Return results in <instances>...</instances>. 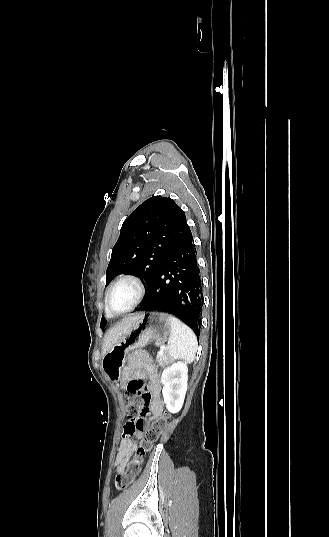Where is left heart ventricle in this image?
Wrapping results in <instances>:
<instances>
[{
    "label": "left heart ventricle",
    "mask_w": 329,
    "mask_h": 537,
    "mask_svg": "<svg viewBox=\"0 0 329 537\" xmlns=\"http://www.w3.org/2000/svg\"><path fill=\"white\" fill-rule=\"evenodd\" d=\"M138 297V289L132 282L120 283L110 295V306L115 312L130 308Z\"/></svg>",
    "instance_id": "1"
}]
</instances>
